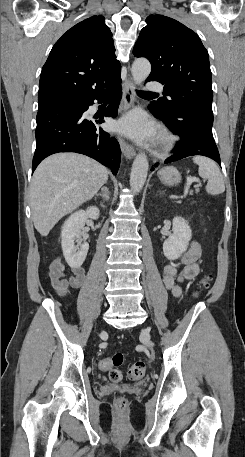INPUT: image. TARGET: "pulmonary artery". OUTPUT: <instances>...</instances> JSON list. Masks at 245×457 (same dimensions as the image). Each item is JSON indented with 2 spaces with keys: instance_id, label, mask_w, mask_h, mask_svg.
Segmentation results:
<instances>
[{
  "instance_id": "e3ab8cb5",
  "label": "pulmonary artery",
  "mask_w": 245,
  "mask_h": 457,
  "mask_svg": "<svg viewBox=\"0 0 245 457\" xmlns=\"http://www.w3.org/2000/svg\"><path fill=\"white\" fill-rule=\"evenodd\" d=\"M143 85H144L145 89H150V90H163V88H164L163 81L145 80ZM161 95L163 97H166L168 95V92L166 90H163L161 92Z\"/></svg>"
}]
</instances>
